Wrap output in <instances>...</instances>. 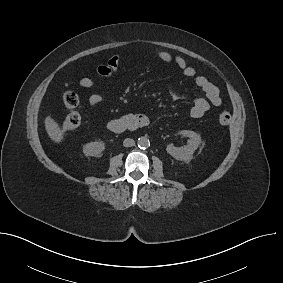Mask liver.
I'll return each instance as SVG.
<instances>
[{
    "label": "liver",
    "mask_w": 283,
    "mask_h": 283,
    "mask_svg": "<svg viewBox=\"0 0 283 283\" xmlns=\"http://www.w3.org/2000/svg\"><path fill=\"white\" fill-rule=\"evenodd\" d=\"M45 130L49 138L55 142L60 143L65 139V133L60 128V125L50 116L45 118Z\"/></svg>",
    "instance_id": "obj_1"
}]
</instances>
